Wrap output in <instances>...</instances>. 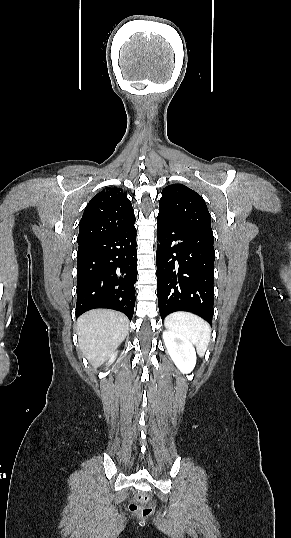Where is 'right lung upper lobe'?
<instances>
[{
	"label": "right lung upper lobe",
	"instance_id": "cb5924a9",
	"mask_svg": "<svg viewBox=\"0 0 291 538\" xmlns=\"http://www.w3.org/2000/svg\"><path fill=\"white\" fill-rule=\"evenodd\" d=\"M134 223L135 215L127 194L116 187L105 188L84 210L79 223L78 244L109 236Z\"/></svg>",
	"mask_w": 291,
	"mask_h": 538
}]
</instances>
